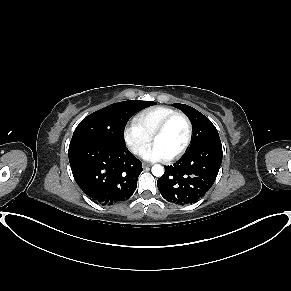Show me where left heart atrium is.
I'll use <instances>...</instances> for the list:
<instances>
[{"label": "left heart atrium", "instance_id": "39dd6f15", "mask_svg": "<svg viewBox=\"0 0 291 291\" xmlns=\"http://www.w3.org/2000/svg\"><path fill=\"white\" fill-rule=\"evenodd\" d=\"M141 156L149 161L168 160L171 157L160 145L156 143L144 148L141 151Z\"/></svg>", "mask_w": 291, "mask_h": 291}]
</instances>
